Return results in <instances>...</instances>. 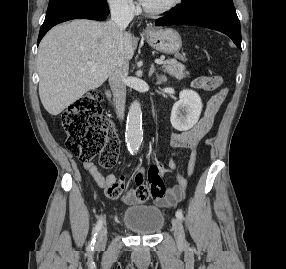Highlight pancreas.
Masks as SVG:
<instances>
[{
  "mask_svg": "<svg viewBox=\"0 0 286 269\" xmlns=\"http://www.w3.org/2000/svg\"><path fill=\"white\" fill-rule=\"evenodd\" d=\"M163 69L170 76L175 77L176 79H183L189 73L185 71V66L175 59H167L163 62Z\"/></svg>",
  "mask_w": 286,
  "mask_h": 269,
  "instance_id": "1",
  "label": "pancreas"
}]
</instances>
